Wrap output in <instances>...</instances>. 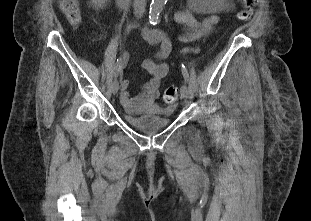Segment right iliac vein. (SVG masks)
I'll return each instance as SVG.
<instances>
[{"instance_id":"right-iliac-vein-1","label":"right iliac vein","mask_w":311,"mask_h":221,"mask_svg":"<svg viewBox=\"0 0 311 221\" xmlns=\"http://www.w3.org/2000/svg\"><path fill=\"white\" fill-rule=\"evenodd\" d=\"M112 93L115 95L119 90V83L117 80H114L111 86Z\"/></svg>"}]
</instances>
